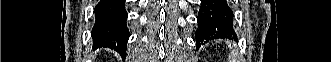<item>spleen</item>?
Listing matches in <instances>:
<instances>
[{
	"mask_svg": "<svg viewBox=\"0 0 331 62\" xmlns=\"http://www.w3.org/2000/svg\"><path fill=\"white\" fill-rule=\"evenodd\" d=\"M237 55H236V52L233 51L231 54H230V62H237Z\"/></svg>",
	"mask_w": 331,
	"mask_h": 62,
	"instance_id": "3e777b00",
	"label": "spleen"
}]
</instances>
